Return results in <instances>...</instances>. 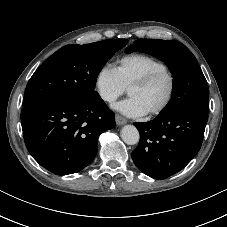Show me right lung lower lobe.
Instances as JSON below:
<instances>
[{
  "mask_svg": "<svg viewBox=\"0 0 227 227\" xmlns=\"http://www.w3.org/2000/svg\"><path fill=\"white\" fill-rule=\"evenodd\" d=\"M21 122L31 156L50 172L67 175L91 163L98 137L115 127V115L99 95L53 97L24 105Z\"/></svg>",
  "mask_w": 227,
  "mask_h": 227,
  "instance_id": "1",
  "label": "right lung lower lobe"
}]
</instances>
